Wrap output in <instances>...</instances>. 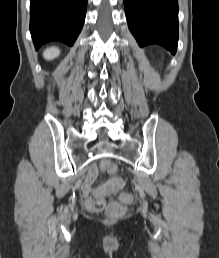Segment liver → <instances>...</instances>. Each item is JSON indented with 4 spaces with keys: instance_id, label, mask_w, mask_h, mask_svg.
Here are the masks:
<instances>
[{
    "instance_id": "1",
    "label": "liver",
    "mask_w": 219,
    "mask_h": 258,
    "mask_svg": "<svg viewBox=\"0 0 219 258\" xmlns=\"http://www.w3.org/2000/svg\"><path fill=\"white\" fill-rule=\"evenodd\" d=\"M60 54V51L56 47L48 48L44 51L43 55L47 60H52Z\"/></svg>"
}]
</instances>
